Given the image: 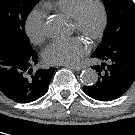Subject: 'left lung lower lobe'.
Here are the masks:
<instances>
[{"label": "left lung lower lobe", "mask_w": 135, "mask_h": 135, "mask_svg": "<svg viewBox=\"0 0 135 135\" xmlns=\"http://www.w3.org/2000/svg\"><path fill=\"white\" fill-rule=\"evenodd\" d=\"M92 58L101 65L92 68L98 72V80L83 91L95 100L112 101L121 97L135 81V41H126L106 52H94Z\"/></svg>", "instance_id": "0a47b994"}]
</instances>
